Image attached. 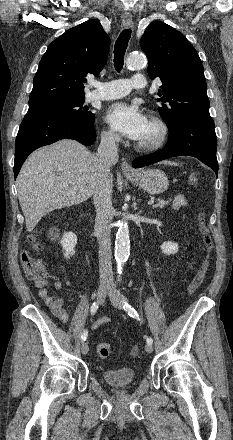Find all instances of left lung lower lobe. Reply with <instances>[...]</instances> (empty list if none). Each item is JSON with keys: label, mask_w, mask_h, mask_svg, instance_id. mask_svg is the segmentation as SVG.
Returning a JSON list of instances; mask_svg holds the SVG:
<instances>
[{"label": "left lung lower lobe", "mask_w": 233, "mask_h": 440, "mask_svg": "<svg viewBox=\"0 0 233 440\" xmlns=\"http://www.w3.org/2000/svg\"><path fill=\"white\" fill-rule=\"evenodd\" d=\"M217 137L210 116L193 115L185 118L177 131L169 134L165 147L153 154L137 158L132 165L144 167L175 156H193L218 174Z\"/></svg>", "instance_id": "left-lung-lower-lobe-1"}]
</instances>
